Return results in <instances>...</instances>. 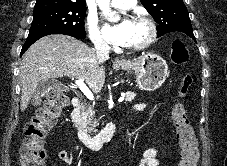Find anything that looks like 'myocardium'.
I'll list each match as a JSON object with an SVG mask.
<instances>
[{
  "instance_id": "obj_1",
  "label": "myocardium",
  "mask_w": 227,
  "mask_h": 166,
  "mask_svg": "<svg viewBox=\"0 0 227 166\" xmlns=\"http://www.w3.org/2000/svg\"><path fill=\"white\" fill-rule=\"evenodd\" d=\"M134 19L137 20V21H140V22H142L146 25L147 36L143 41H141L139 43L127 45L126 49H128V50H142V49L148 47L149 45H151L152 42L155 40V37L157 35L156 25L151 18H149L147 15H145L143 13L137 14Z\"/></svg>"
}]
</instances>
